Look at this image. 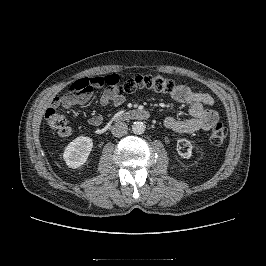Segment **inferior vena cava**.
Returning <instances> with one entry per match:
<instances>
[{
	"label": "inferior vena cava",
	"instance_id": "inferior-vena-cava-1",
	"mask_svg": "<svg viewBox=\"0 0 266 266\" xmlns=\"http://www.w3.org/2000/svg\"><path fill=\"white\" fill-rule=\"evenodd\" d=\"M127 124L125 122H116L111 129L113 136L122 137L127 133Z\"/></svg>",
	"mask_w": 266,
	"mask_h": 266
}]
</instances>
